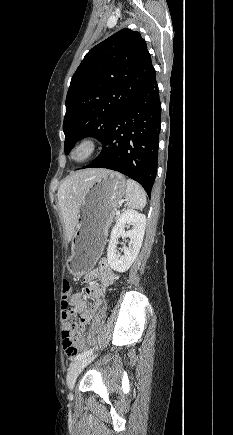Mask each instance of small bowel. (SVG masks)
Wrapping results in <instances>:
<instances>
[{
  "mask_svg": "<svg viewBox=\"0 0 233 435\" xmlns=\"http://www.w3.org/2000/svg\"><path fill=\"white\" fill-rule=\"evenodd\" d=\"M99 279L98 283H92L95 279ZM116 273L109 267L106 258L99 260L97 268L89 271L84 276V281L87 283L80 291L71 295L69 302L71 305L70 312H63L62 327L71 330L73 325L77 328L76 343L80 348H83L86 342L88 331L86 325L93 319L98 310L104 304V290L113 285L117 281ZM88 300H92L93 305H89ZM80 315V321L73 324L70 319Z\"/></svg>",
  "mask_w": 233,
  "mask_h": 435,
  "instance_id": "c3829d8e",
  "label": "small bowel"
}]
</instances>
